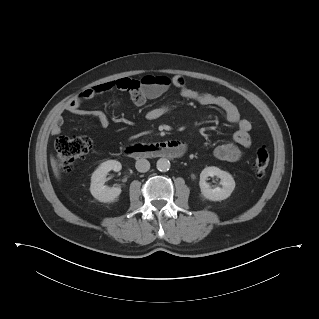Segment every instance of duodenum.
<instances>
[{
	"mask_svg": "<svg viewBox=\"0 0 319 319\" xmlns=\"http://www.w3.org/2000/svg\"><path fill=\"white\" fill-rule=\"evenodd\" d=\"M184 152V145L176 140L153 144H135L125 149V154L136 158H179Z\"/></svg>",
	"mask_w": 319,
	"mask_h": 319,
	"instance_id": "1",
	"label": "duodenum"
}]
</instances>
